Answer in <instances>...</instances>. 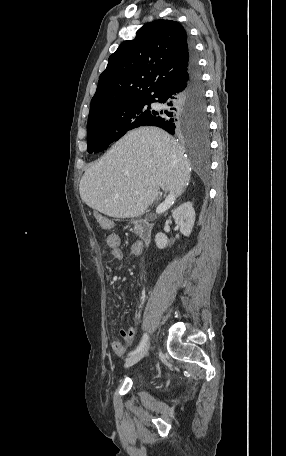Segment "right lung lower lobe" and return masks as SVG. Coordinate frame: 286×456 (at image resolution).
Returning <instances> with one entry per match:
<instances>
[{"label": "right lung lower lobe", "instance_id": "right-lung-lower-lobe-1", "mask_svg": "<svg viewBox=\"0 0 286 456\" xmlns=\"http://www.w3.org/2000/svg\"><path fill=\"white\" fill-rule=\"evenodd\" d=\"M154 102L169 106V111H155L149 126H158L171 134L175 132H204L193 130L195 125H206L208 129L205 93L200 70L192 49V57L186 76L163 91Z\"/></svg>", "mask_w": 286, "mask_h": 456}]
</instances>
